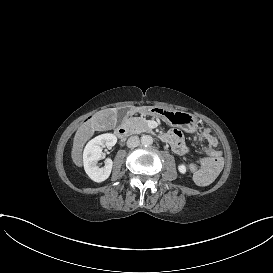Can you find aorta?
Segmentation results:
<instances>
[{
  "label": "aorta",
  "mask_w": 273,
  "mask_h": 273,
  "mask_svg": "<svg viewBox=\"0 0 273 273\" xmlns=\"http://www.w3.org/2000/svg\"><path fill=\"white\" fill-rule=\"evenodd\" d=\"M141 143H142V145H144V146H149V145H151V144L153 143V138H152V136H150V135H143V136L141 137Z\"/></svg>",
  "instance_id": "aorta-1"
}]
</instances>
